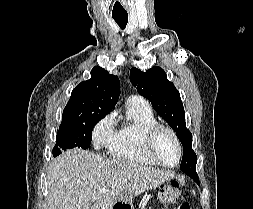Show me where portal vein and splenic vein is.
<instances>
[{
    "instance_id": "1",
    "label": "portal vein and splenic vein",
    "mask_w": 253,
    "mask_h": 209,
    "mask_svg": "<svg viewBox=\"0 0 253 209\" xmlns=\"http://www.w3.org/2000/svg\"><path fill=\"white\" fill-rule=\"evenodd\" d=\"M99 191L104 193V192H106V189L100 188Z\"/></svg>"
}]
</instances>
